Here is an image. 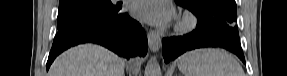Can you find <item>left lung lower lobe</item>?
I'll return each mask as SVG.
<instances>
[{
  "mask_svg": "<svg viewBox=\"0 0 287 76\" xmlns=\"http://www.w3.org/2000/svg\"><path fill=\"white\" fill-rule=\"evenodd\" d=\"M163 57L168 63L182 53L202 47H221L236 54L245 63L241 49L240 38L237 35L225 33L198 19L196 29L191 33L163 39Z\"/></svg>",
  "mask_w": 287,
  "mask_h": 76,
  "instance_id": "left-lung-lower-lobe-1",
  "label": "left lung lower lobe"
}]
</instances>
